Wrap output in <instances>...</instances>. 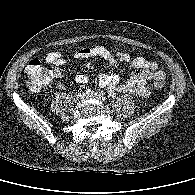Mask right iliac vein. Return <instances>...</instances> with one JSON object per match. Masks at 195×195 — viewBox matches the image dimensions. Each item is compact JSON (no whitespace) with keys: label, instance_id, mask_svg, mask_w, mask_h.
Wrapping results in <instances>:
<instances>
[{"label":"right iliac vein","instance_id":"63e3f726","mask_svg":"<svg viewBox=\"0 0 195 195\" xmlns=\"http://www.w3.org/2000/svg\"><path fill=\"white\" fill-rule=\"evenodd\" d=\"M84 98H85V94L79 93L75 97V102L80 103L81 101H83Z\"/></svg>","mask_w":195,"mask_h":195}]
</instances>
